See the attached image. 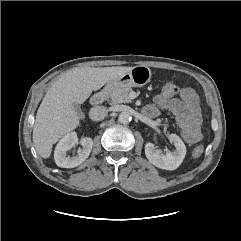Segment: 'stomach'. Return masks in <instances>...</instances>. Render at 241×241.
Listing matches in <instances>:
<instances>
[{
  "mask_svg": "<svg viewBox=\"0 0 241 241\" xmlns=\"http://www.w3.org/2000/svg\"><path fill=\"white\" fill-rule=\"evenodd\" d=\"M151 75L152 73L149 67L138 65L133 67L129 72L109 82L106 86V89L111 91L127 86L142 87L150 82Z\"/></svg>",
  "mask_w": 241,
  "mask_h": 241,
  "instance_id": "stomach-1",
  "label": "stomach"
}]
</instances>
